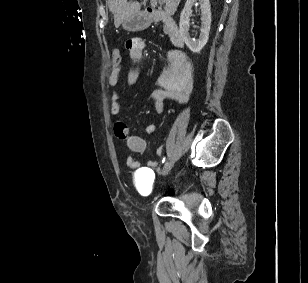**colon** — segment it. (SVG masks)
I'll return each mask as SVG.
<instances>
[{
	"instance_id": "5ec220e1",
	"label": "colon",
	"mask_w": 308,
	"mask_h": 283,
	"mask_svg": "<svg viewBox=\"0 0 308 283\" xmlns=\"http://www.w3.org/2000/svg\"><path fill=\"white\" fill-rule=\"evenodd\" d=\"M112 61H113V66L117 67L121 63V52L118 49H115L112 53Z\"/></svg>"
}]
</instances>
